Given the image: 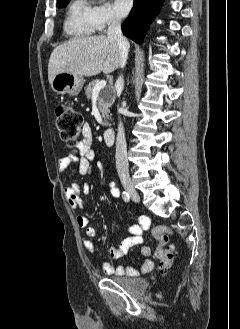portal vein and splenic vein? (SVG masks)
Returning a JSON list of instances; mask_svg holds the SVG:
<instances>
[{"instance_id":"1","label":"portal vein and splenic vein","mask_w":240,"mask_h":329,"mask_svg":"<svg viewBox=\"0 0 240 329\" xmlns=\"http://www.w3.org/2000/svg\"><path fill=\"white\" fill-rule=\"evenodd\" d=\"M106 86V81L105 80H102V81H99L95 84L94 88H93V96H96L99 94V92L104 89V87Z\"/></svg>"}]
</instances>
